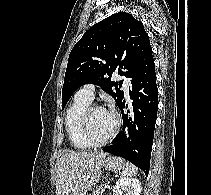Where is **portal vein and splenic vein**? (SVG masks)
I'll list each match as a JSON object with an SVG mask.
<instances>
[{"instance_id":"1","label":"portal vein and splenic vein","mask_w":211,"mask_h":195,"mask_svg":"<svg viewBox=\"0 0 211 195\" xmlns=\"http://www.w3.org/2000/svg\"><path fill=\"white\" fill-rule=\"evenodd\" d=\"M110 186H109V184H104V188L106 189V188H109Z\"/></svg>"}]
</instances>
